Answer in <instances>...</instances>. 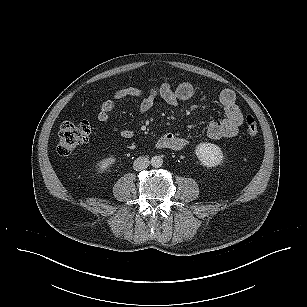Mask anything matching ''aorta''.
<instances>
[{
	"label": "aorta",
	"instance_id": "762f6f07",
	"mask_svg": "<svg viewBox=\"0 0 307 307\" xmlns=\"http://www.w3.org/2000/svg\"><path fill=\"white\" fill-rule=\"evenodd\" d=\"M150 164H151L153 167H155V168H159V167H161L162 164H163V159H162L161 156H157V155H156V156H153V157L151 158Z\"/></svg>",
	"mask_w": 307,
	"mask_h": 307
}]
</instances>
